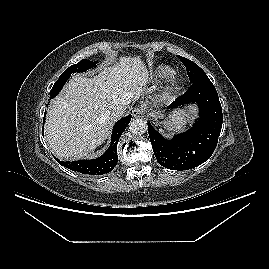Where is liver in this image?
<instances>
[{
    "mask_svg": "<svg viewBox=\"0 0 269 269\" xmlns=\"http://www.w3.org/2000/svg\"><path fill=\"white\" fill-rule=\"evenodd\" d=\"M148 80L144 62L130 56L116 58L91 78L73 76L47 112L45 137L54 155L88 156L109 134V111L139 98Z\"/></svg>",
    "mask_w": 269,
    "mask_h": 269,
    "instance_id": "6515ba94",
    "label": "liver"
}]
</instances>
